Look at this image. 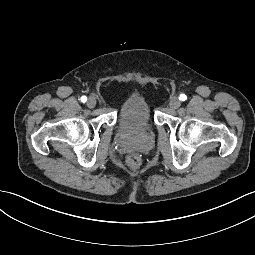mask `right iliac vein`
Listing matches in <instances>:
<instances>
[{
	"mask_svg": "<svg viewBox=\"0 0 255 255\" xmlns=\"http://www.w3.org/2000/svg\"><path fill=\"white\" fill-rule=\"evenodd\" d=\"M96 100L95 98H89L88 101H87V106L89 108H94L96 106Z\"/></svg>",
	"mask_w": 255,
	"mask_h": 255,
	"instance_id": "right-iliac-vein-1",
	"label": "right iliac vein"
}]
</instances>
